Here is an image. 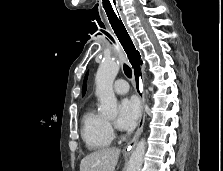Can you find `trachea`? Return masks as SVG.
I'll list each match as a JSON object with an SVG mask.
<instances>
[{
    "instance_id": "1",
    "label": "trachea",
    "mask_w": 223,
    "mask_h": 171,
    "mask_svg": "<svg viewBox=\"0 0 223 171\" xmlns=\"http://www.w3.org/2000/svg\"><path fill=\"white\" fill-rule=\"evenodd\" d=\"M111 40L114 41L113 38H111ZM123 70H124L125 75L128 78H131L132 77V70H131V68L127 64H124L123 65Z\"/></svg>"
}]
</instances>
